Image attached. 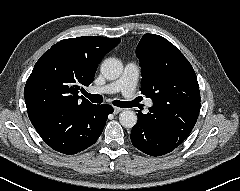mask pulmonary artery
<instances>
[{
  "instance_id": "1",
  "label": "pulmonary artery",
  "mask_w": 240,
  "mask_h": 191,
  "mask_svg": "<svg viewBox=\"0 0 240 191\" xmlns=\"http://www.w3.org/2000/svg\"><path fill=\"white\" fill-rule=\"evenodd\" d=\"M139 69L136 64L128 63L125 66L122 76L103 86V87H92L90 91L92 93H116L121 92L122 95L127 99H133L135 94V88L138 81ZM147 108L152 107L153 102L150 99L145 101Z\"/></svg>"
}]
</instances>
